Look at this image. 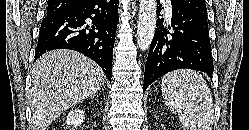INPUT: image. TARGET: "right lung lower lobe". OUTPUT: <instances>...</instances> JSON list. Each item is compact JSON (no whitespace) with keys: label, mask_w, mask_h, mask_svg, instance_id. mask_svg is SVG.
<instances>
[{"label":"right lung lower lobe","mask_w":249,"mask_h":130,"mask_svg":"<svg viewBox=\"0 0 249 130\" xmlns=\"http://www.w3.org/2000/svg\"><path fill=\"white\" fill-rule=\"evenodd\" d=\"M117 10V0H80L68 10L46 16L35 60L50 50H75L94 60L111 82Z\"/></svg>","instance_id":"obj_1"}]
</instances>
